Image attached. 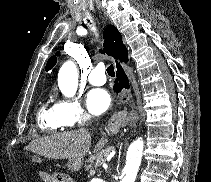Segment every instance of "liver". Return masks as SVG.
<instances>
[{
  "label": "liver",
  "mask_w": 211,
  "mask_h": 182,
  "mask_svg": "<svg viewBox=\"0 0 211 182\" xmlns=\"http://www.w3.org/2000/svg\"><path fill=\"white\" fill-rule=\"evenodd\" d=\"M107 139L103 137L94 151L101 150ZM91 147V135L86 129L59 133L33 140L27 150L51 159H83Z\"/></svg>",
  "instance_id": "6515ba94"
}]
</instances>
